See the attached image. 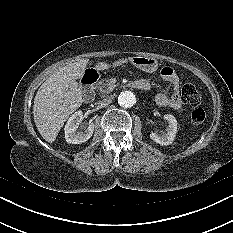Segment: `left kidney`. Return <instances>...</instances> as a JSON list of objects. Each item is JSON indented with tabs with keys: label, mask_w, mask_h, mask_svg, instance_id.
<instances>
[{
	"label": "left kidney",
	"mask_w": 233,
	"mask_h": 233,
	"mask_svg": "<svg viewBox=\"0 0 233 233\" xmlns=\"http://www.w3.org/2000/svg\"><path fill=\"white\" fill-rule=\"evenodd\" d=\"M163 118L168 122L166 132L162 134L151 132L150 138L158 144L170 145L177 133V120L172 114H165Z\"/></svg>",
	"instance_id": "obj_1"
}]
</instances>
